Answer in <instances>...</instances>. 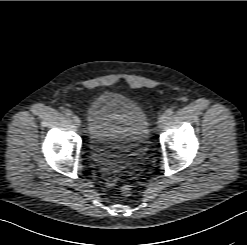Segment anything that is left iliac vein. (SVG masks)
<instances>
[{
	"label": "left iliac vein",
	"mask_w": 247,
	"mask_h": 245,
	"mask_svg": "<svg viewBox=\"0 0 247 245\" xmlns=\"http://www.w3.org/2000/svg\"><path fill=\"white\" fill-rule=\"evenodd\" d=\"M165 121H166V117L164 116V114L160 115L157 122L158 128H162L165 124Z\"/></svg>",
	"instance_id": "4c4485c4"
}]
</instances>
